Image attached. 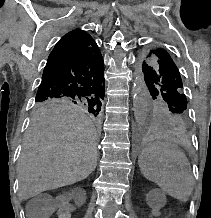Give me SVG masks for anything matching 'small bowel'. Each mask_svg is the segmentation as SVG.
<instances>
[{"label": "small bowel", "mask_w": 211, "mask_h": 218, "mask_svg": "<svg viewBox=\"0 0 211 218\" xmlns=\"http://www.w3.org/2000/svg\"><path fill=\"white\" fill-rule=\"evenodd\" d=\"M70 213L65 207L58 208L56 211V218H69Z\"/></svg>", "instance_id": "small-bowel-1"}]
</instances>
